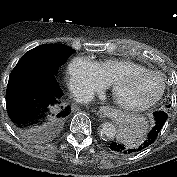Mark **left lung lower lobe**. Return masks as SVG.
Returning a JSON list of instances; mask_svg holds the SVG:
<instances>
[{"label":"left lung lower lobe","mask_w":177,"mask_h":177,"mask_svg":"<svg viewBox=\"0 0 177 177\" xmlns=\"http://www.w3.org/2000/svg\"><path fill=\"white\" fill-rule=\"evenodd\" d=\"M153 115H154L155 123L152 130L148 134L147 138L144 140V142L140 143L135 147H128L118 142H112L110 144V149L121 154H131V153L142 151L143 149L150 146L157 139L160 131L162 130L168 118L166 111L154 112Z\"/></svg>","instance_id":"0a47b994"}]
</instances>
